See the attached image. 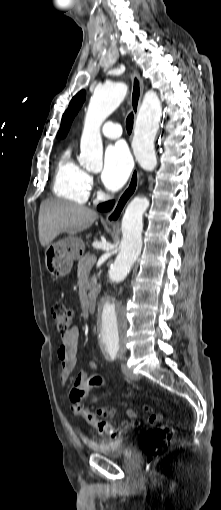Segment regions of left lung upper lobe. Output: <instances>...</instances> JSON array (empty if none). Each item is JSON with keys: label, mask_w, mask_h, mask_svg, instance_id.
Segmentation results:
<instances>
[{"label": "left lung upper lobe", "mask_w": 221, "mask_h": 510, "mask_svg": "<svg viewBox=\"0 0 221 510\" xmlns=\"http://www.w3.org/2000/svg\"><path fill=\"white\" fill-rule=\"evenodd\" d=\"M85 96H86L85 90H81L71 100L68 109L65 111V113L62 117L60 130L58 132V137L64 138L66 136V134L69 131V128L71 126L72 120L74 119L75 115L78 113L80 107L82 106L83 102L85 101Z\"/></svg>", "instance_id": "left-lung-upper-lobe-1"}]
</instances>
